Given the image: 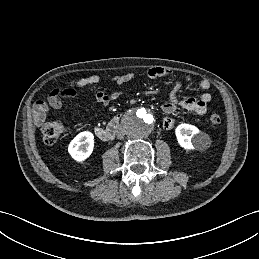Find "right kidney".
<instances>
[{
  "mask_svg": "<svg viewBox=\"0 0 259 259\" xmlns=\"http://www.w3.org/2000/svg\"><path fill=\"white\" fill-rule=\"evenodd\" d=\"M94 147V136L89 131L79 133L69 144L68 151L71 157L78 161L87 159Z\"/></svg>",
  "mask_w": 259,
  "mask_h": 259,
  "instance_id": "right-kidney-1",
  "label": "right kidney"
}]
</instances>
